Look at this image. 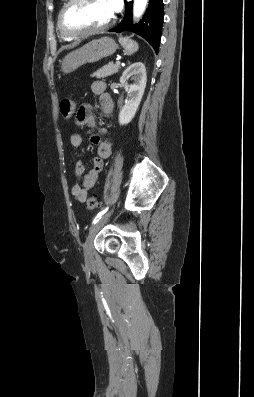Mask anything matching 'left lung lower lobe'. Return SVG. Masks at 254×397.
Segmentation results:
<instances>
[{
    "instance_id": "obj_1",
    "label": "left lung lower lobe",
    "mask_w": 254,
    "mask_h": 397,
    "mask_svg": "<svg viewBox=\"0 0 254 397\" xmlns=\"http://www.w3.org/2000/svg\"><path fill=\"white\" fill-rule=\"evenodd\" d=\"M126 14L120 24L110 29V32L130 31L146 39L158 53L162 25H163V0H149L148 9L138 25L132 24V3L125 2Z\"/></svg>"
}]
</instances>
